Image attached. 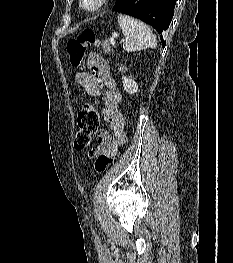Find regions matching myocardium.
I'll return each instance as SVG.
<instances>
[{
	"instance_id": "myocardium-1",
	"label": "myocardium",
	"mask_w": 233,
	"mask_h": 263,
	"mask_svg": "<svg viewBox=\"0 0 233 263\" xmlns=\"http://www.w3.org/2000/svg\"><path fill=\"white\" fill-rule=\"evenodd\" d=\"M108 0H79L80 8L87 13H96L101 10Z\"/></svg>"
}]
</instances>
